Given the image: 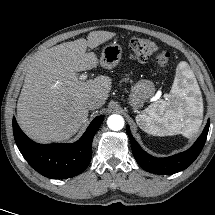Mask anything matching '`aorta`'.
Here are the masks:
<instances>
[{
    "label": "aorta",
    "instance_id": "obj_1",
    "mask_svg": "<svg viewBox=\"0 0 215 215\" xmlns=\"http://www.w3.org/2000/svg\"><path fill=\"white\" fill-rule=\"evenodd\" d=\"M107 125L111 130H121L124 126V119L120 115H111L107 120Z\"/></svg>",
    "mask_w": 215,
    "mask_h": 215
}]
</instances>
